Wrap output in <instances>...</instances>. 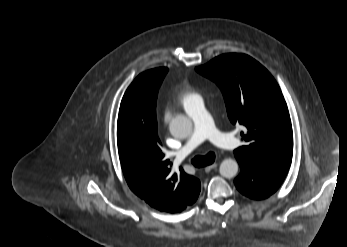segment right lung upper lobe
<instances>
[{
    "mask_svg": "<svg viewBox=\"0 0 347 247\" xmlns=\"http://www.w3.org/2000/svg\"><path fill=\"white\" fill-rule=\"evenodd\" d=\"M157 85L146 71L126 90L117 122L118 153L130 189L153 208L178 213L196 201L201 184L182 168L170 173L157 133Z\"/></svg>",
    "mask_w": 347,
    "mask_h": 247,
    "instance_id": "1",
    "label": "right lung upper lobe"
}]
</instances>
